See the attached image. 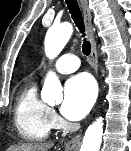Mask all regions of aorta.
<instances>
[{
  "label": "aorta",
  "mask_w": 131,
  "mask_h": 151,
  "mask_svg": "<svg viewBox=\"0 0 131 151\" xmlns=\"http://www.w3.org/2000/svg\"><path fill=\"white\" fill-rule=\"evenodd\" d=\"M73 32L70 23L65 22L49 28L45 39L46 55L53 59L59 55ZM43 92L45 97L55 99L61 94L60 82L55 73L50 72L44 82ZM103 135V119L98 118L88 126L85 136L83 137L80 151H99Z\"/></svg>",
  "instance_id": "obj_1"
}]
</instances>
